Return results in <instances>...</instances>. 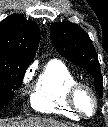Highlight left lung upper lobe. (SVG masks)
Instances as JSON below:
<instances>
[{
	"label": "left lung upper lobe",
	"instance_id": "5c2ea615",
	"mask_svg": "<svg viewBox=\"0 0 108 127\" xmlns=\"http://www.w3.org/2000/svg\"><path fill=\"white\" fill-rule=\"evenodd\" d=\"M51 39L60 54L92 74L95 87L99 95H102V75L98 57L91 39L81 27L71 22L53 23Z\"/></svg>",
	"mask_w": 108,
	"mask_h": 127
}]
</instances>
